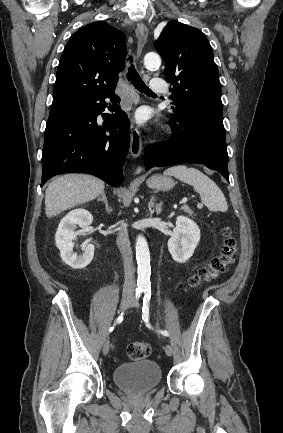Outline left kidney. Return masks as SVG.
I'll list each match as a JSON object with an SVG mask.
<instances>
[{
    "mask_svg": "<svg viewBox=\"0 0 283 433\" xmlns=\"http://www.w3.org/2000/svg\"><path fill=\"white\" fill-rule=\"evenodd\" d=\"M200 241L198 225L185 216L176 218V226L168 240V250L177 263H185L194 253Z\"/></svg>",
    "mask_w": 283,
    "mask_h": 433,
    "instance_id": "1",
    "label": "left kidney"
}]
</instances>
